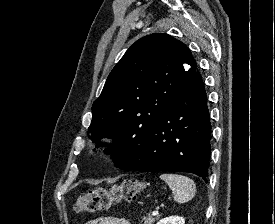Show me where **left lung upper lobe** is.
Returning a JSON list of instances; mask_svg holds the SVG:
<instances>
[{"instance_id":"5c2ea615","label":"left lung upper lobe","mask_w":275,"mask_h":224,"mask_svg":"<svg viewBox=\"0 0 275 224\" xmlns=\"http://www.w3.org/2000/svg\"><path fill=\"white\" fill-rule=\"evenodd\" d=\"M196 69L187 46L168 34L144 36L126 51L93 103L88 128L96 138L115 137L116 167L136 159L149 132Z\"/></svg>"}]
</instances>
